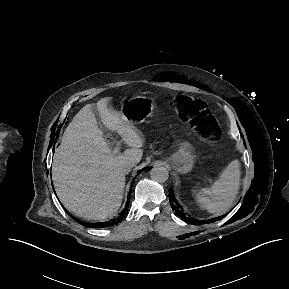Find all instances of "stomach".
<instances>
[{"mask_svg":"<svg viewBox=\"0 0 289 289\" xmlns=\"http://www.w3.org/2000/svg\"><path fill=\"white\" fill-rule=\"evenodd\" d=\"M155 105V101L149 97L135 96L122 105L120 114L134 125L149 118ZM195 158L196 156L190 143L181 141L172 154L171 161L178 172L187 173L192 170Z\"/></svg>","mask_w":289,"mask_h":289,"instance_id":"stomach-1","label":"stomach"}]
</instances>
